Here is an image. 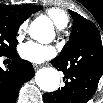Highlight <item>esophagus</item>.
<instances>
[{
  "instance_id": "esophagus-1",
  "label": "esophagus",
  "mask_w": 103,
  "mask_h": 103,
  "mask_svg": "<svg viewBox=\"0 0 103 103\" xmlns=\"http://www.w3.org/2000/svg\"><path fill=\"white\" fill-rule=\"evenodd\" d=\"M33 67H34L35 70H37V69H39L41 67V65H39V64H33Z\"/></svg>"
}]
</instances>
